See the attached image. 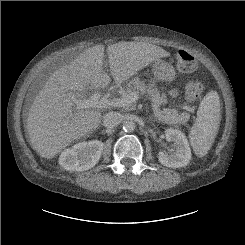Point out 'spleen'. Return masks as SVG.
<instances>
[{
	"instance_id": "1",
	"label": "spleen",
	"mask_w": 245,
	"mask_h": 245,
	"mask_svg": "<svg viewBox=\"0 0 245 245\" xmlns=\"http://www.w3.org/2000/svg\"><path fill=\"white\" fill-rule=\"evenodd\" d=\"M221 120L220 100L216 91H210L201 101L197 118L193 124L189 140L197 156H204L210 150L217 135Z\"/></svg>"
}]
</instances>
